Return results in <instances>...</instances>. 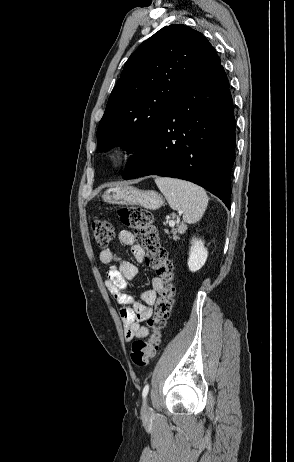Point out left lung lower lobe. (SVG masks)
I'll return each instance as SVG.
<instances>
[{
  "label": "left lung lower lobe",
  "mask_w": 294,
  "mask_h": 462,
  "mask_svg": "<svg viewBox=\"0 0 294 462\" xmlns=\"http://www.w3.org/2000/svg\"><path fill=\"white\" fill-rule=\"evenodd\" d=\"M235 118L221 62L190 84L155 135L129 159L124 179L148 175L191 181L230 209Z\"/></svg>",
  "instance_id": "obj_1"
}]
</instances>
